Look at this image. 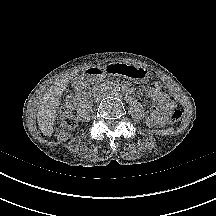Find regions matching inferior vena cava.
I'll return each mask as SVG.
<instances>
[{"label":"inferior vena cava","instance_id":"1","mask_svg":"<svg viewBox=\"0 0 216 216\" xmlns=\"http://www.w3.org/2000/svg\"><path fill=\"white\" fill-rule=\"evenodd\" d=\"M104 97H105V93L102 95H99L97 99L99 100V99L104 98Z\"/></svg>","mask_w":216,"mask_h":216}]
</instances>
